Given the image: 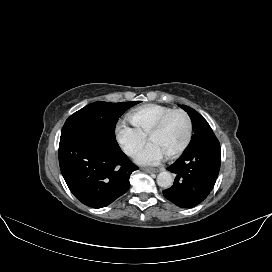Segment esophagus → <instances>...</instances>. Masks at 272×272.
I'll return each mask as SVG.
<instances>
[{"label":"esophagus","instance_id":"1","mask_svg":"<svg viewBox=\"0 0 272 272\" xmlns=\"http://www.w3.org/2000/svg\"><path fill=\"white\" fill-rule=\"evenodd\" d=\"M143 171H145L147 173H158L161 170L160 169H153V168H143Z\"/></svg>","mask_w":272,"mask_h":272}]
</instances>
